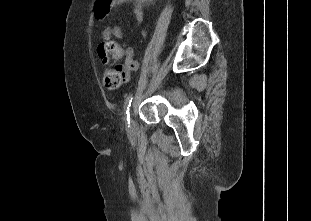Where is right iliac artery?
<instances>
[{"label": "right iliac artery", "instance_id": "obj_1", "mask_svg": "<svg viewBox=\"0 0 311 221\" xmlns=\"http://www.w3.org/2000/svg\"><path fill=\"white\" fill-rule=\"evenodd\" d=\"M132 99H133V95L131 94V95H129L126 98L125 104H124L125 121H126V125H127L128 128H129V125H130V113H129V110H130Z\"/></svg>", "mask_w": 311, "mask_h": 221}]
</instances>
